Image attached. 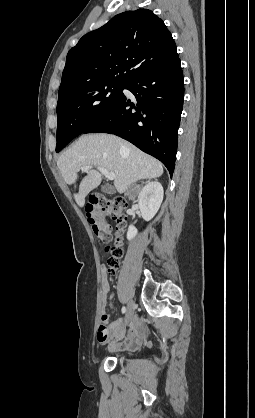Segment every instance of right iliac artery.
<instances>
[{"label": "right iliac artery", "mask_w": 255, "mask_h": 418, "mask_svg": "<svg viewBox=\"0 0 255 418\" xmlns=\"http://www.w3.org/2000/svg\"><path fill=\"white\" fill-rule=\"evenodd\" d=\"M126 312V307L125 306H123L122 307V313L124 314Z\"/></svg>", "instance_id": "right-iliac-artery-1"}]
</instances>
